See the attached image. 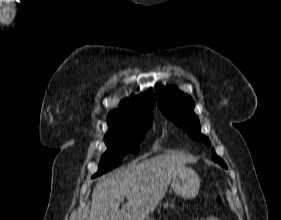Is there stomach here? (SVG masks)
<instances>
[{
    "label": "stomach",
    "mask_w": 281,
    "mask_h": 220,
    "mask_svg": "<svg viewBox=\"0 0 281 220\" xmlns=\"http://www.w3.org/2000/svg\"><path fill=\"white\" fill-rule=\"evenodd\" d=\"M171 186L177 195L189 199L197 195L200 180L193 169L184 167L173 176Z\"/></svg>",
    "instance_id": "stomach-1"
}]
</instances>
